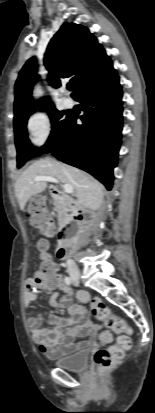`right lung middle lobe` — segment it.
Listing matches in <instances>:
<instances>
[{
  "label": "right lung middle lobe",
  "mask_w": 155,
  "mask_h": 413,
  "mask_svg": "<svg viewBox=\"0 0 155 413\" xmlns=\"http://www.w3.org/2000/svg\"><path fill=\"white\" fill-rule=\"evenodd\" d=\"M47 111L51 119L52 131L47 142L41 148L32 146L28 139L26 124L29 117L14 122L18 168L23 166L29 159L41 155L51 145L66 124L67 116L65 115H67V113H65V111H58L54 107L47 109Z\"/></svg>",
  "instance_id": "obj_1"
}]
</instances>
